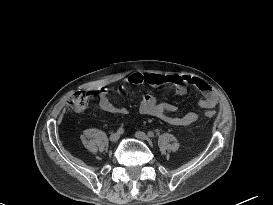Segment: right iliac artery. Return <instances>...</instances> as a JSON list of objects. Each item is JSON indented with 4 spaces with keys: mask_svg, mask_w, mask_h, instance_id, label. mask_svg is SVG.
<instances>
[{
    "mask_svg": "<svg viewBox=\"0 0 273 205\" xmlns=\"http://www.w3.org/2000/svg\"><path fill=\"white\" fill-rule=\"evenodd\" d=\"M117 132H118L119 134H122V133L124 132V128H123V127H120V128L117 130Z\"/></svg>",
    "mask_w": 273,
    "mask_h": 205,
    "instance_id": "1",
    "label": "right iliac artery"
}]
</instances>
